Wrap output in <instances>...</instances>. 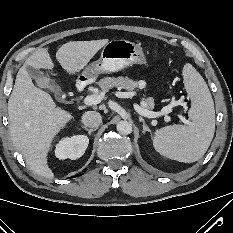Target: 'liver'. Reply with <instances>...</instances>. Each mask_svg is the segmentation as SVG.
<instances>
[{
	"mask_svg": "<svg viewBox=\"0 0 233 233\" xmlns=\"http://www.w3.org/2000/svg\"><path fill=\"white\" fill-rule=\"evenodd\" d=\"M108 42V39L70 41L58 49L56 59L69 75H74L85 69ZM27 66L53 69L48 48L38 49L30 55L17 73L8 101L10 135L29 168L42 177L51 178L54 174L48 166V152L55 136L73 115L58 107L47 92L33 84Z\"/></svg>",
	"mask_w": 233,
	"mask_h": 233,
	"instance_id": "1",
	"label": "liver"
}]
</instances>
